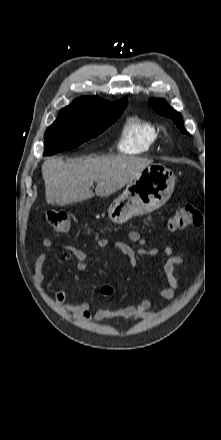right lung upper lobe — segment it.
Instances as JSON below:
<instances>
[{
	"label": "right lung upper lobe",
	"mask_w": 221,
	"mask_h": 440,
	"mask_svg": "<svg viewBox=\"0 0 221 440\" xmlns=\"http://www.w3.org/2000/svg\"><path fill=\"white\" fill-rule=\"evenodd\" d=\"M127 106V97L125 96L114 103L105 101L97 96L81 97L73 101V103L63 109L73 110H94L105 108H123Z\"/></svg>",
	"instance_id": "obj_1"
}]
</instances>
